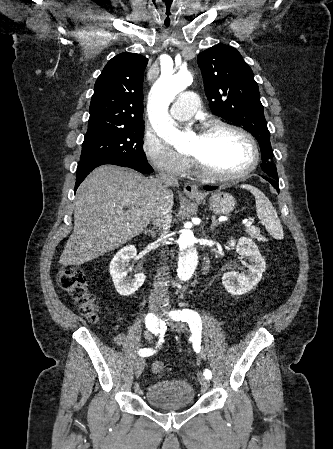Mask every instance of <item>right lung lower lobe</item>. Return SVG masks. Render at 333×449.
Wrapping results in <instances>:
<instances>
[{
    "label": "right lung lower lobe",
    "mask_w": 333,
    "mask_h": 449,
    "mask_svg": "<svg viewBox=\"0 0 333 449\" xmlns=\"http://www.w3.org/2000/svg\"><path fill=\"white\" fill-rule=\"evenodd\" d=\"M104 164H112L123 167H130L134 170H137L141 173L149 174L153 172V168L148 163H129L122 160L115 159H99V160H91V161H80L77 168L76 175V185L75 191L80 185V183L86 178V176L91 172L94 168L104 165Z\"/></svg>",
    "instance_id": "right-lung-lower-lobe-1"
}]
</instances>
